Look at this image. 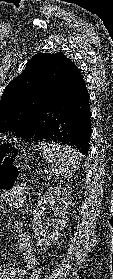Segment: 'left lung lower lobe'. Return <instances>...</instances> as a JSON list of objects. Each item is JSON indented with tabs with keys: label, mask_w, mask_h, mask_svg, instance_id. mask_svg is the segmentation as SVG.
<instances>
[{
	"label": "left lung lower lobe",
	"mask_w": 113,
	"mask_h": 279,
	"mask_svg": "<svg viewBox=\"0 0 113 279\" xmlns=\"http://www.w3.org/2000/svg\"><path fill=\"white\" fill-rule=\"evenodd\" d=\"M89 94L78 67L70 60L38 102L19 138L67 144L88 155L91 135Z\"/></svg>",
	"instance_id": "obj_1"
}]
</instances>
